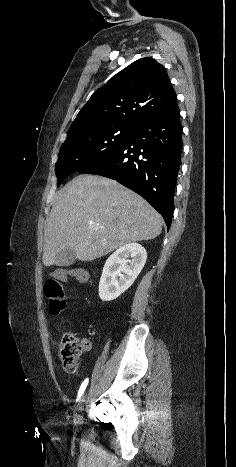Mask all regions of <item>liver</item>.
Wrapping results in <instances>:
<instances>
[{"label":"liver","instance_id":"liver-1","mask_svg":"<svg viewBox=\"0 0 236 467\" xmlns=\"http://www.w3.org/2000/svg\"><path fill=\"white\" fill-rule=\"evenodd\" d=\"M163 220L141 196L114 180L79 175L55 196L44 234L43 264L71 249L92 261L129 243L160 235Z\"/></svg>","mask_w":236,"mask_h":467}]
</instances>
